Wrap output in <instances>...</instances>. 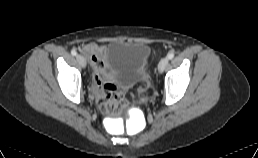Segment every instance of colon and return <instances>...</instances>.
<instances>
[{
    "mask_svg": "<svg viewBox=\"0 0 258 158\" xmlns=\"http://www.w3.org/2000/svg\"><path fill=\"white\" fill-rule=\"evenodd\" d=\"M125 106L126 104L124 100L118 94H115L112 96L110 100H108L103 104L102 109L106 113H110V112H113L117 107L123 108Z\"/></svg>",
    "mask_w": 258,
    "mask_h": 158,
    "instance_id": "5ec220e1",
    "label": "colon"
}]
</instances>
